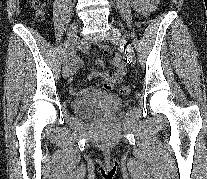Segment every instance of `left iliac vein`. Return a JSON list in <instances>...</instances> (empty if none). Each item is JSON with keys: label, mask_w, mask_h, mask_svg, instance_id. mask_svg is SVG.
Returning a JSON list of instances; mask_svg holds the SVG:
<instances>
[{"label": "left iliac vein", "mask_w": 207, "mask_h": 179, "mask_svg": "<svg viewBox=\"0 0 207 179\" xmlns=\"http://www.w3.org/2000/svg\"><path fill=\"white\" fill-rule=\"evenodd\" d=\"M107 27H109L111 31L106 34V39L113 44L121 45L123 49H126V57L128 58V61L132 62V64L134 65L136 59L133 53L132 46L130 45V50H127V45H125V41L122 39L123 35L121 34L120 30L116 28L115 25L107 24Z\"/></svg>", "instance_id": "obj_1"}]
</instances>
